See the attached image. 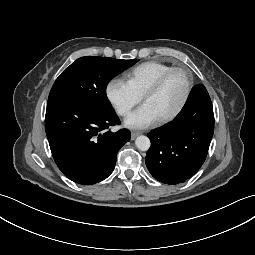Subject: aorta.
I'll list each match as a JSON object with an SVG mask.
<instances>
[{"instance_id": "762f6f07", "label": "aorta", "mask_w": 255, "mask_h": 255, "mask_svg": "<svg viewBox=\"0 0 255 255\" xmlns=\"http://www.w3.org/2000/svg\"><path fill=\"white\" fill-rule=\"evenodd\" d=\"M136 147L141 151H147L150 148L151 142L147 136H138L135 140Z\"/></svg>"}]
</instances>
